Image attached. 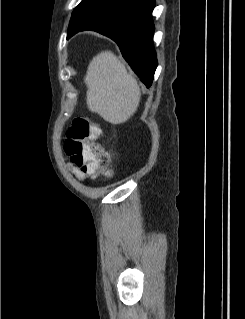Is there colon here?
<instances>
[{"instance_id": "colon-1", "label": "colon", "mask_w": 245, "mask_h": 319, "mask_svg": "<svg viewBox=\"0 0 245 319\" xmlns=\"http://www.w3.org/2000/svg\"><path fill=\"white\" fill-rule=\"evenodd\" d=\"M101 128L84 117L74 119L67 130L65 151L71 162L90 178L111 173V156L98 142Z\"/></svg>"}]
</instances>
